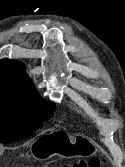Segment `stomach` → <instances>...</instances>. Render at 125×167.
Returning a JSON list of instances; mask_svg holds the SVG:
<instances>
[{"label":"stomach","instance_id":"obj_1","mask_svg":"<svg viewBox=\"0 0 125 167\" xmlns=\"http://www.w3.org/2000/svg\"><path fill=\"white\" fill-rule=\"evenodd\" d=\"M56 132L34 142L31 147V154L35 159L47 160L54 155L70 158L88 154L87 145L90 142L84 136H71L64 131Z\"/></svg>","mask_w":125,"mask_h":167}]
</instances>
